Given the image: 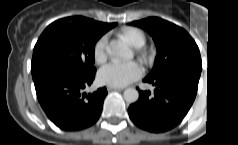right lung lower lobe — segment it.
Here are the masks:
<instances>
[{"mask_svg": "<svg viewBox=\"0 0 238 145\" xmlns=\"http://www.w3.org/2000/svg\"><path fill=\"white\" fill-rule=\"evenodd\" d=\"M38 101L47 117L65 131H79L99 118L106 88L86 94L84 89L95 78V71L81 72L59 63L31 66Z\"/></svg>", "mask_w": 238, "mask_h": 145, "instance_id": "1", "label": "right lung lower lobe"}]
</instances>
